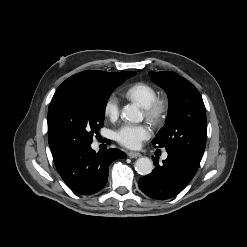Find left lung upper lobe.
Segmentation results:
<instances>
[{
  "label": "left lung upper lobe",
  "instance_id": "1",
  "mask_svg": "<svg viewBox=\"0 0 247 247\" xmlns=\"http://www.w3.org/2000/svg\"><path fill=\"white\" fill-rule=\"evenodd\" d=\"M169 98L165 126L153 144L167 152L187 153L202 158L207 138L206 110L195 86L173 72H149Z\"/></svg>",
  "mask_w": 247,
  "mask_h": 247
}]
</instances>
